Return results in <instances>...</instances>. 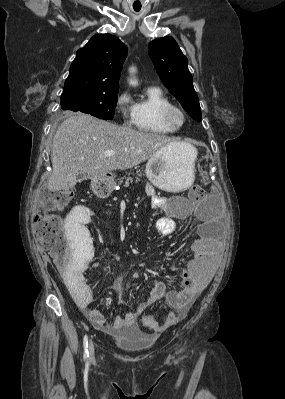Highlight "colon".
Listing matches in <instances>:
<instances>
[{
    "label": "colon",
    "mask_w": 285,
    "mask_h": 399,
    "mask_svg": "<svg viewBox=\"0 0 285 399\" xmlns=\"http://www.w3.org/2000/svg\"><path fill=\"white\" fill-rule=\"evenodd\" d=\"M204 196L205 190L200 185H193L189 189V198L191 200H200L204 198ZM66 197L67 195L60 196L54 193L48 194L46 192L43 196V207H58L63 203ZM64 227V222L59 216L53 213H38L32 221L31 231L34 237L38 240L40 247L50 254L54 259L58 269L64 273H68L69 271L73 270V266L70 262L71 254L69 252L67 234L64 231ZM76 250L84 259H90L93 253L91 239L85 253L83 244L78 245ZM75 274L77 277L80 276V272L78 270H75ZM169 317L171 320L175 321L178 319V314L175 312H170ZM141 321L142 324L148 329L160 324L156 317L151 314L144 315Z\"/></svg>",
    "instance_id": "colon-1"
}]
</instances>
